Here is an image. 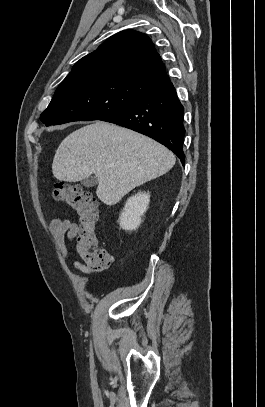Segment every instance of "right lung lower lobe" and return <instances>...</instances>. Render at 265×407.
Here are the masks:
<instances>
[{"label": "right lung lower lobe", "mask_w": 265, "mask_h": 407, "mask_svg": "<svg viewBox=\"0 0 265 407\" xmlns=\"http://www.w3.org/2000/svg\"><path fill=\"white\" fill-rule=\"evenodd\" d=\"M183 106L170 80L156 86L135 105L100 120L114 123L160 142L173 151L184 165Z\"/></svg>", "instance_id": "1"}]
</instances>
